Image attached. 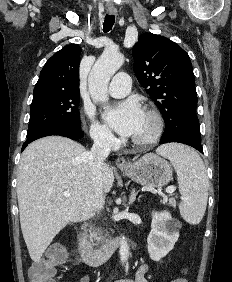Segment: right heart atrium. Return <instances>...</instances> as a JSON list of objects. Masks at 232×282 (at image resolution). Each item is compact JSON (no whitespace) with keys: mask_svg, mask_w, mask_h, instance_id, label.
<instances>
[{"mask_svg":"<svg viewBox=\"0 0 232 282\" xmlns=\"http://www.w3.org/2000/svg\"><path fill=\"white\" fill-rule=\"evenodd\" d=\"M85 115L89 120V131L92 139L102 146L114 145L116 141L114 135L105 125L96 120L94 112L86 109Z\"/></svg>","mask_w":232,"mask_h":282,"instance_id":"d8ad5b80","label":"right heart atrium"}]
</instances>
